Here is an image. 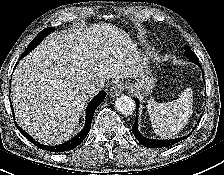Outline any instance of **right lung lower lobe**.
Segmentation results:
<instances>
[{"instance_id":"1","label":"right lung lower lobe","mask_w":224,"mask_h":175,"mask_svg":"<svg viewBox=\"0 0 224 175\" xmlns=\"http://www.w3.org/2000/svg\"><path fill=\"white\" fill-rule=\"evenodd\" d=\"M32 50L33 49H29V50L24 51V53L21 56V59L24 56H26ZM104 98H105V92L104 91L100 92L96 97L93 98V100L88 104V107L86 109V122H85L84 128L75 137H73L69 141H67L63 144L57 145V146H47V145L40 144L39 142H36L28 133L23 131L17 124H16V126L20 130V132L29 141H31L33 144H35L36 146H38L41 149L51 151V152L69 151V150H72L75 147H77L85 139V137L89 133L94 112H95L96 108L100 105V103H102Z\"/></svg>"}]
</instances>
